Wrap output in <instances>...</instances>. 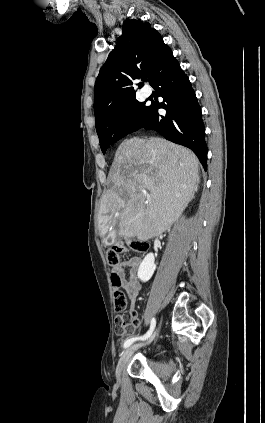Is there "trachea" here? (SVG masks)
<instances>
[{
  "mask_svg": "<svg viewBox=\"0 0 265 423\" xmlns=\"http://www.w3.org/2000/svg\"><path fill=\"white\" fill-rule=\"evenodd\" d=\"M144 81H147V77L144 78Z\"/></svg>",
  "mask_w": 265,
  "mask_h": 423,
  "instance_id": "1",
  "label": "trachea"
}]
</instances>
